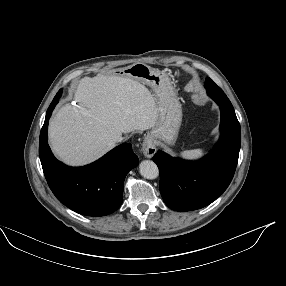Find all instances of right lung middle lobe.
Returning <instances> with one entry per match:
<instances>
[{"label":"right lung middle lobe","mask_w":286,"mask_h":286,"mask_svg":"<svg viewBox=\"0 0 286 286\" xmlns=\"http://www.w3.org/2000/svg\"><path fill=\"white\" fill-rule=\"evenodd\" d=\"M62 89L58 92L59 97H61Z\"/></svg>","instance_id":"right-lung-middle-lobe-1"}]
</instances>
